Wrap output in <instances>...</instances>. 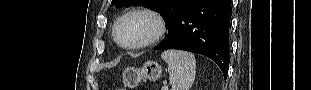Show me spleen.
<instances>
[{
    "label": "spleen",
    "mask_w": 311,
    "mask_h": 90,
    "mask_svg": "<svg viewBox=\"0 0 311 90\" xmlns=\"http://www.w3.org/2000/svg\"><path fill=\"white\" fill-rule=\"evenodd\" d=\"M161 58L168 64L172 90H189L195 80V56L186 51L166 50Z\"/></svg>",
    "instance_id": "1"
}]
</instances>
